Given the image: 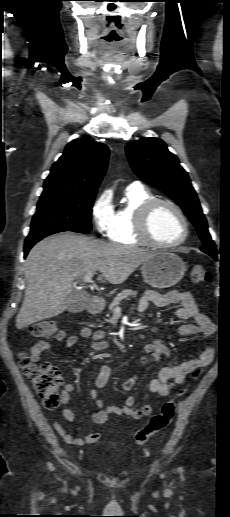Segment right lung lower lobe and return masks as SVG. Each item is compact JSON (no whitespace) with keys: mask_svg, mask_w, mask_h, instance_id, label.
Masks as SVG:
<instances>
[{"mask_svg":"<svg viewBox=\"0 0 230 517\" xmlns=\"http://www.w3.org/2000/svg\"><path fill=\"white\" fill-rule=\"evenodd\" d=\"M62 231L63 230L52 231V232L41 234V235L27 237L26 240H25V246H24V256L26 257L28 252H29V250L32 248V246L34 244H36L38 241H40L41 239H43L44 237H47V236H49L51 234L62 232Z\"/></svg>","mask_w":230,"mask_h":517,"instance_id":"98d812e1","label":"right lung lower lobe"}]
</instances>
